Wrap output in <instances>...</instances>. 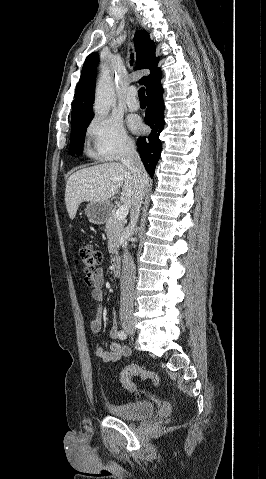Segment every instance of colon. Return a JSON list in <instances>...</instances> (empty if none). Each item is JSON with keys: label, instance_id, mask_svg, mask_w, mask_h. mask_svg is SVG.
I'll return each instance as SVG.
<instances>
[{"label": "colon", "instance_id": "1", "mask_svg": "<svg viewBox=\"0 0 266 479\" xmlns=\"http://www.w3.org/2000/svg\"><path fill=\"white\" fill-rule=\"evenodd\" d=\"M75 260L80 266L82 273L85 275V281L90 285L89 277L93 270L102 260V253L90 244H82L75 253ZM139 377L142 380H151L154 385L159 384V377L157 373L146 370L139 366H127L120 373V380L124 388L128 391L134 392L137 386L132 381L133 377Z\"/></svg>", "mask_w": 266, "mask_h": 479}]
</instances>
